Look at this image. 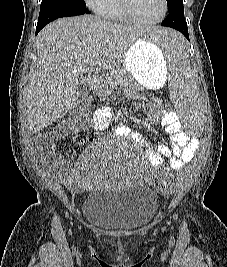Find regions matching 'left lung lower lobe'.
<instances>
[{
    "label": "left lung lower lobe",
    "mask_w": 227,
    "mask_h": 267,
    "mask_svg": "<svg viewBox=\"0 0 227 267\" xmlns=\"http://www.w3.org/2000/svg\"><path fill=\"white\" fill-rule=\"evenodd\" d=\"M161 25L178 30L189 40L188 27L184 17V7L169 12Z\"/></svg>",
    "instance_id": "obj_1"
}]
</instances>
